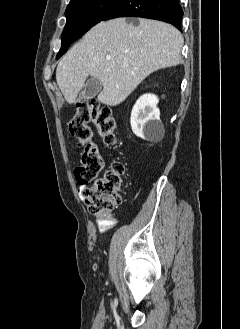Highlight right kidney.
<instances>
[{"label": "right kidney", "mask_w": 240, "mask_h": 329, "mask_svg": "<svg viewBox=\"0 0 240 329\" xmlns=\"http://www.w3.org/2000/svg\"><path fill=\"white\" fill-rule=\"evenodd\" d=\"M158 102L156 95L144 94L133 106L130 119L131 128L135 135L144 140L161 138L164 135V126L157 108Z\"/></svg>", "instance_id": "ca27d5eb"}]
</instances>
